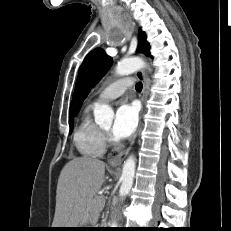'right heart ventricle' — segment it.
<instances>
[{
    "instance_id": "1",
    "label": "right heart ventricle",
    "mask_w": 231,
    "mask_h": 231,
    "mask_svg": "<svg viewBox=\"0 0 231 231\" xmlns=\"http://www.w3.org/2000/svg\"><path fill=\"white\" fill-rule=\"evenodd\" d=\"M92 107L89 106L84 111L73 135L77 151L88 158L101 157L106 151V142L102 131L91 117Z\"/></svg>"
}]
</instances>
